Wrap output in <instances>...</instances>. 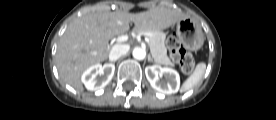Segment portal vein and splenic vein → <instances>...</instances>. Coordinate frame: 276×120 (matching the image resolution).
<instances>
[{"mask_svg":"<svg viewBox=\"0 0 276 120\" xmlns=\"http://www.w3.org/2000/svg\"><path fill=\"white\" fill-rule=\"evenodd\" d=\"M128 40V36L127 35H121L117 38V42H125ZM145 41L149 44V38H145Z\"/></svg>","mask_w":276,"mask_h":120,"instance_id":"1","label":"portal vein and splenic vein"}]
</instances>
